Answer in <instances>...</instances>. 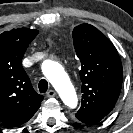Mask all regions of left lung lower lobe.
<instances>
[{"mask_svg": "<svg viewBox=\"0 0 133 133\" xmlns=\"http://www.w3.org/2000/svg\"><path fill=\"white\" fill-rule=\"evenodd\" d=\"M76 116V118L79 120V121H81V122H83V123H85V124H88V125H94V124H96V123H98L99 121H96V120H94V119H89V118H86V117H84V116H81V115H75Z\"/></svg>", "mask_w": 133, "mask_h": 133, "instance_id": "obj_1", "label": "left lung lower lobe"}]
</instances>
